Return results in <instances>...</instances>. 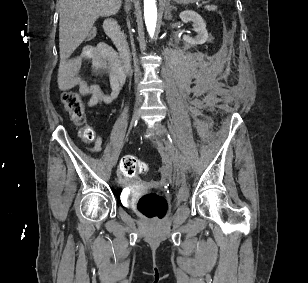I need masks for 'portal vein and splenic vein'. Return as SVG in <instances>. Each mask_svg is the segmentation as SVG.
Listing matches in <instances>:
<instances>
[{"label":"portal vein and splenic vein","instance_id":"1","mask_svg":"<svg viewBox=\"0 0 308 283\" xmlns=\"http://www.w3.org/2000/svg\"><path fill=\"white\" fill-rule=\"evenodd\" d=\"M197 6H198V7H201V6H202V4H197Z\"/></svg>","mask_w":308,"mask_h":283}]
</instances>
